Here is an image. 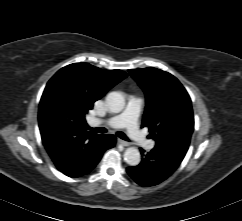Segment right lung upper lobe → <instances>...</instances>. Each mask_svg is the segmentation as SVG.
Returning <instances> with one entry per match:
<instances>
[{"instance_id": "1", "label": "right lung upper lobe", "mask_w": 242, "mask_h": 221, "mask_svg": "<svg viewBox=\"0 0 242 221\" xmlns=\"http://www.w3.org/2000/svg\"><path fill=\"white\" fill-rule=\"evenodd\" d=\"M126 77L121 70L74 63L49 80L40 100L38 121L43 144L54 162L72 157L81 143L97 135L84 128L85 115Z\"/></svg>"}]
</instances>
